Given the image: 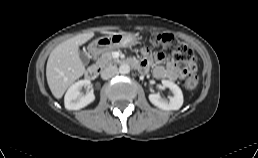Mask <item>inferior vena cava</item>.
<instances>
[{"label": "inferior vena cava", "mask_w": 258, "mask_h": 158, "mask_svg": "<svg viewBox=\"0 0 258 158\" xmlns=\"http://www.w3.org/2000/svg\"><path fill=\"white\" fill-rule=\"evenodd\" d=\"M117 73H118V69L116 66H107L102 70L101 77L102 79L107 80L113 77L114 75H116Z\"/></svg>", "instance_id": "obj_1"}]
</instances>
